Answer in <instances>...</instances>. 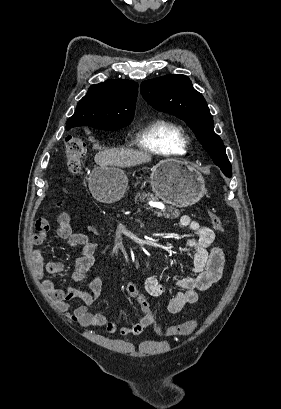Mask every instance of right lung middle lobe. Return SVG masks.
<instances>
[{"label": "right lung middle lobe", "instance_id": "obj_1", "mask_svg": "<svg viewBox=\"0 0 281 409\" xmlns=\"http://www.w3.org/2000/svg\"><path fill=\"white\" fill-rule=\"evenodd\" d=\"M127 125H129V124H124V125H109V126H98V125H96V126H91V127H94V128H97V129H101V130L114 131V130H118V129L122 128V127H125V126H127Z\"/></svg>", "mask_w": 281, "mask_h": 409}]
</instances>
